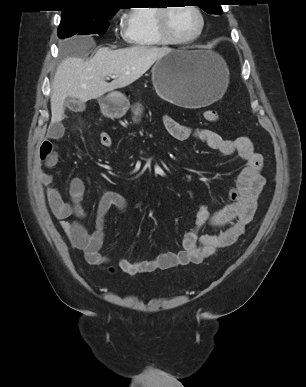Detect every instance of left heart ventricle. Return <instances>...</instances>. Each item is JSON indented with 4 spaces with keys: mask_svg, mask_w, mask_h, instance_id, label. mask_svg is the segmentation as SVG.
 Returning <instances> with one entry per match:
<instances>
[{
    "mask_svg": "<svg viewBox=\"0 0 306 387\" xmlns=\"http://www.w3.org/2000/svg\"><path fill=\"white\" fill-rule=\"evenodd\" d=\"M169 28L176 38L187 39L197 32L199 18L188 6L174 7L169 14Z\"/></svg>",
    "mask_w": 306,
    "mask_h": 387,
    "instance_id": "1",
    "label": "left heart ventricle"
}]
</instances>
